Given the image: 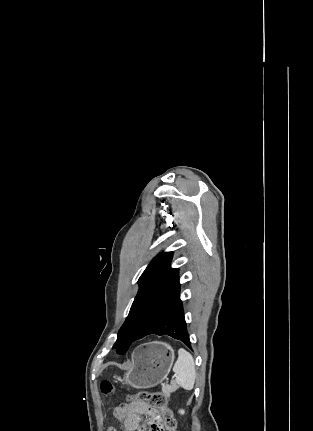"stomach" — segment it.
<instances>
[{"label":"stomach","instance_id":"1","mask_svg":"<svg viewBox=\"0 0 313 431\" xmlns=\"http://www.w3.org/2000/svg\"><path fill=\"white\" fill-rule=\"evenodd\" d=\"M174 361V351L166 343L148 342L139 345L132 357L131 368L123 382L139 389L154 387L168 376Z\"/></svg>","mask_w":313,"mask_h":431}]
</instances>
